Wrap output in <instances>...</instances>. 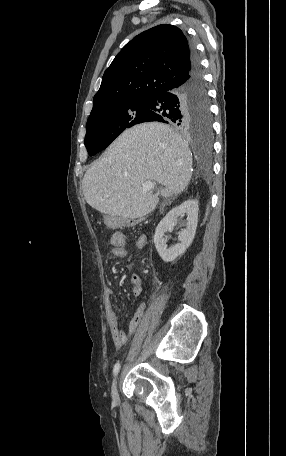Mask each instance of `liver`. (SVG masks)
Instances as JSON below:
<instances>
[{"label": "liver", "instance_id": "6515ba94", "mask_svg": "<svg viewBox=\"0 0 286 456\" xmlns=\"http://www.w3.org/2000/svg\"><path fill=\"white\" fill-rule=\"evenodd\" d=\"M192 176L188 144L172 127L150 122L124 131L86 171V202L101 213L136 219L151 213L157 195L143 192L152 181L163 186L162 197L181 193Z\"/></svg>", "mask_w": 286, "mask_h": 456}]
</instances>
